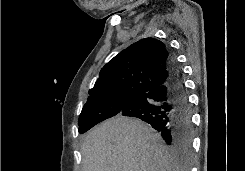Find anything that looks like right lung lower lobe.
<instances>
[{"instance_id":"right-lung-lower-lobe-1","label":"right lung lower lobe","mask_w":245,"mask_h":171,"mask_svg":"<svg viewBox=\"0 0 245 171\" xmlns=\"http://www.w3.org/2000/svg\"><path fill=\"white\" fill-rule=\"evenodd\" d=\"M167 81L144 95L127 102L119 115L139 118L160 132L166 144L176 154L187 158L191 154L192 122L182 74L175 57L169 51Z\"/></svg>"}]
</instances>
